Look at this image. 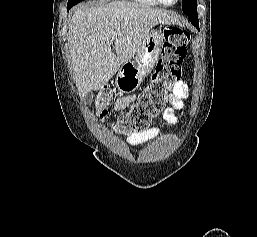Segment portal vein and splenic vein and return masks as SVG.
I'll list each match as a JSON object with an SVG mask.
<instances>
[{
	"instance_id": "portal-vein-and-splenic-vein-1",
	"label": "portal vein and splenic vein",
	"mask_w": 257,
	"mask_h": 237,
	"mask_svg": "<svg viewBox=\"0 0 257 237\" xmlns=\"http://www.w3.org/2000/svg\"><path fill=\"white\" fill-rule=\"evenodd\" d=\"M113 39H114V36L111 38V41H113Z\"/></svg>"
}]
</instances>
